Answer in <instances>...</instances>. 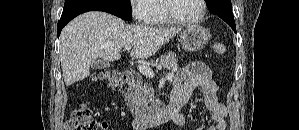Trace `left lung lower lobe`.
I'll list each match as a JSON object with an SVG mask.
<instances>
[{"mask_svg":"<svg viewBox=\"0 0 299 130\" xmlns=\"http://www.w3.org/2000/svg\"><path fill=\"white\" fill-rule=\"evenodd\" d=\"M216 4L208 6L210 12L222 18L228 23L234 32H236L235 21L232 13V7L226 0H215Z\"/></svg>","mask_w":299,"mask_h":130,"instance_id":"0a47b994","label":"left lung lower lobe"}]
</instances>
